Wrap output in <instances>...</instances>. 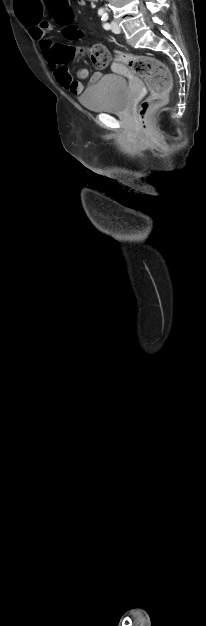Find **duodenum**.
Segmentation results:
<instances>
[{"label": "duodenum", "mask_w": 206, "mask_h": 626, "mask_svg": "<svg viewBox=\"0 0 206 626\" xmlns=\"http://www.w3.org/2000/svg\"><path fill=\"white\" fill-rule=\"evenodd\" d=\"M90 1H92V2H96V1H98V0H90Z\"/></svg>", "instance_id": "duodenum-1"}]
</instances>
